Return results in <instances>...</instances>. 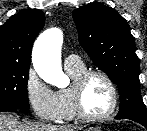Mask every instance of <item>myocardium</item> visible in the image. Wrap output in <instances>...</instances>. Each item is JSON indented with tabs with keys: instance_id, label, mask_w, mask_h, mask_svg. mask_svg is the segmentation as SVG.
<instances>
[{
	"instance_id": "f54148a6",
	"label": "myocardium",
	"mask_w": 147,
	"mask_h": 131,
	"mask_svg": "<svg viewBox=\"0 0 147 131\" xmlns=\"http://www.w3.org/2000/svg\"><path fill=\"white\" fill-rule=\"evenodd\" d=\"M94 76H98L104 79L111 92V105L105 113L100 115L88 114L83 107L82 101L84 85L88 79ZM70 94L76 116L86 122H99L106 120L116 111L119 103L118 90L112 78L106 72L96 69L85 70L76 78H74L70 85Z\"/></svg>"
}]
</instances>
